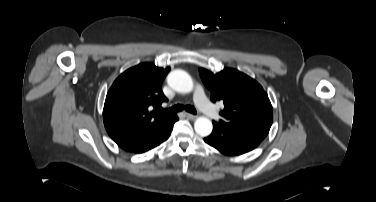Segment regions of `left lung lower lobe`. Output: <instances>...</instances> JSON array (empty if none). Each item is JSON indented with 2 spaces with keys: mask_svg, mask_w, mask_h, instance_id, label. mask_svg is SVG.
Segmentation results:
<instances>
[{
  "mask_svg": "<svg viewBox=\"0 0 376 202\" xmlns=\"http://www.w3.org/2000/svg\"><path fill=\"white\" fill-rule=\"evenodd\" d=\"M263 138L232 128L227 124L213 122L211 135L204 141L225 155H240L256 148Z\"/></svg>",
  "mask_w": 376,
  "mask_h": 202,
  "instance_id": "0a47b994",
  "label": "left lung lower lobe"
}]
</instances>
